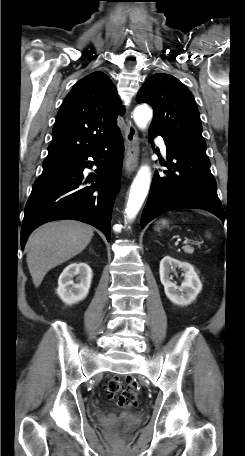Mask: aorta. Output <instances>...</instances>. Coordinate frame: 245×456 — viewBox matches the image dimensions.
I'll return each instance as SVG.
<instances>
[{
    "label": "aorta",
    "instance_id": "aorta-1",
    "mask_svg": "<svg viewBox=\"0 0 245 456\" xmlns=\"http://www.w3.org/2000/svg\"><path fill=\"white\" fill-rule=\"evenodd\" d=\"M152 115V110L146 104L139 105L134 110V120L139 128H145L148 121H150L152 118ZM150 182V167L143 165L137 172L130 188L129 199L126 208L128 220H133L139 212L149 191Z\"/></svg>",
    "mask_w": 245,
    "mask_h": 456
}]
</instances>
